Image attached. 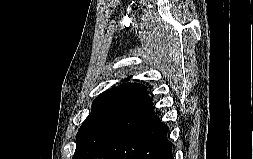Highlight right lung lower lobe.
<instances>
[{
	"instance_id": "right-lung-lower-lobe-1",
	"label": "right lung lower lobe",
	"mask_w": 253,
	"mask_h": 159,
	"mask_svg": "<svg viewBox=\"0 0 253 159\" xmlns=\"http://www.w3.org/2000/svg\"><path fill=\"white\" fill-rule=\"evenodd\" d=\"M167 125L152 112L131 130L106 144L90 158L173 159Z\"/></svg>"
}]
</instances>
